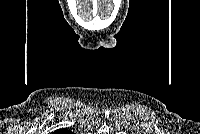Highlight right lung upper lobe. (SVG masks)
<instances>
[{
	"mask_svg": "<svg viewBox=\"0 0 200 134\" xmlns=\"http://www.w3.org/2000/svg\"><path fill=\"white\" fill-rule=\"evenodd\" d=\"M56 133L67 134V133H70V131L62 129V130L56 131Z\"/></svg>",
	"mask_w": 200,
	"mask_h": 134,
	"instance_id": "right-lung-upper-lobe-1",
	"label": "right lung upper lobe"
}]
</instances>
